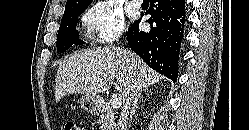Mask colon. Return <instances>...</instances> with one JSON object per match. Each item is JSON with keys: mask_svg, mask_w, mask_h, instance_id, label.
<instances>
[{"mask_svg": "<svg viewBox=\"0 0 249 130\" xmlns=\"http://www.w3.org/2000/svg\"><path fill=\"white\" fill-rule=\"evenodd\" d=\"M63 130H81L74 122L68 121L64 124Z\"/></svg>", "mask_w": 249, "mask_h": 130, "instance_id": "5ec220e1", "label": "colon"}]
</instances>
